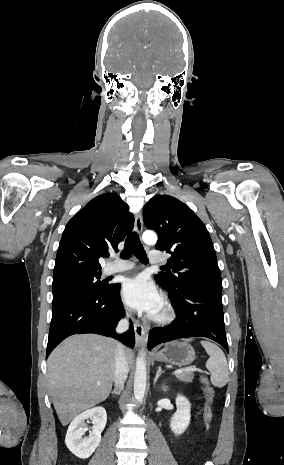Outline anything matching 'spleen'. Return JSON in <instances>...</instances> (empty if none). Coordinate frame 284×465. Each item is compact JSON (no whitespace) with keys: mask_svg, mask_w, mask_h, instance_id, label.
<instances>
[{"mask_svg":"<svg viewBox=\"0 0 284 465\" xmlns=\"http://www.w3.org/2000/svg\"><path fill=\"white\" fill-rule=\"evenodd\" d=\"M202 347H204L209 359L206 363V369L210 371V381L214 387H225L228 383V365L226 357L214 343L209 341H201Z\"/></svg>","mask_w":284,"mask_h":465,"instance_id":"1","label":"spleen"}]
</instances>
